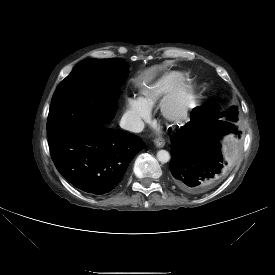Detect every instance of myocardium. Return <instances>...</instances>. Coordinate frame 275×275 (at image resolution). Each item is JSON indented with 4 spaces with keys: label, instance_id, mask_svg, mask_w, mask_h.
<instances>
[{
    "label": "myocardium",
    "instance_id": "f54148a6",
    "mask_svg": "<svg viewBox=\"0 0 275 275\" xmlns=\"http://www.w3.org/2000/svg\"><path fill=\"white\" fill-rule=\"evenodd\" d=\"M190 86L187 77L178 72L167 92L159 101L161 118L169 123H180L187 115Z\"/></svg>",
    "mask_w": 275,
    "mask_h": 275
}]
</instances>
